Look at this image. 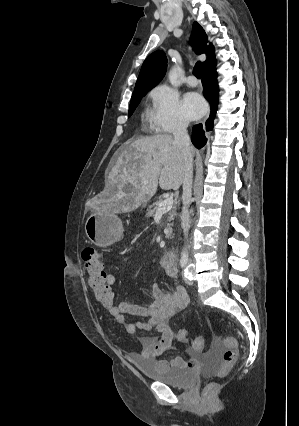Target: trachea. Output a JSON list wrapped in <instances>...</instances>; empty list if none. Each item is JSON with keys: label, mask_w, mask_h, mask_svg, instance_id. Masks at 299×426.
Segmentation results:
<instances>
[{"label": "trachea", "mask_w": 299, "mask_h": 426, "mask_svg": "<svg viewBox=\"0 0 299 426\" xmlns=\"http://www.w3.org/2000/svg\"><path fill=\"white\" fill-rule=\"evenodd\" d=\"M193 72H194V75H195L197 78H201V77H202L203 68H202V64H201V62H197V63L195 64L194 69H193Z\"/></svg>", "instance_id": "1"}]
</instances>
